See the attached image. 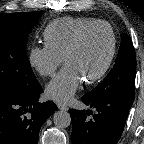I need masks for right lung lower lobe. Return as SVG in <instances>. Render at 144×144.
Here are the masks:
<instances>
[{
    "mask_svg": "<svg viewBox=\"0 0 144 144\" xmlns=\"http://www.w3.org/2000/svg\"><path fill=\"white\" fill-rule=\"evenodd\" d=\"M41 85L20 91L0 90V144H38L43 123L55 112L56 105L39 103Z\"/></svg>",
    "mask_w": 144,
    "mask_h": 144,
    "instance_id": "right-lung-lower-lobe-1",
    "label": "right lung lower lobe"
}]
</instances>
